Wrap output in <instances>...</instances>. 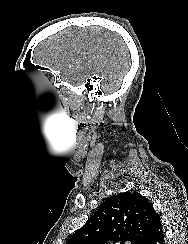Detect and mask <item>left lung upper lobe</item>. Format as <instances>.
Wrapping results in <instances>:
<instances>
[{"mask_svg": "<svg viewBox=\"0 0 188 244\" xmlns=\"http://www.w3.org/2000/svg\"><path fill=\"white\" fill-rule=\"evenodd\" d=\"M156 212L140 193L124 192L108 198L66 244L114 242L144 244Z\"/></svg>", "mask_w": 188, "mask_h": 244, "instance_id": "left-lung-upper-lobe-1", "label": "left lung upper lobe"}]
</instances>
